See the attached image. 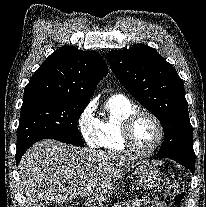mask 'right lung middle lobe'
<instances>
[{
    "mask_svg": "<svg viewBox=\"0 0 206 207\" xmlns=\"http://www.w3.org/2000/svg\"><path fill=\"white\" fill-rule=\"evenodd\" d=\"M87 104L55 97L24 101L17 129V151L45 138L84 146L76 123Z\"/></svg>",
    "mask_w": 206,
    "mask_h": 207,
    "instance_id": "right-lung-middle-lobe-1",
    "label": "right lung middle lobe"
}]
</instances>
